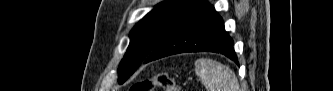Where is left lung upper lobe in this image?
<instances>
[{"label":"left lung upper lobe","instance_id":"1","mask_svg":"<svg viewBox=\"0 0 333 91\" xmlns=\"http://www.w3.org/2000/svg\"><path fill=\"white\" fill-rule=\"evenodd\" d=\"M198 0H167L157 5L130 32V44L119 66V84L145 61L170 28Z\"/></svg>","mask_w":333,"mask_h":91}]
</instances>
